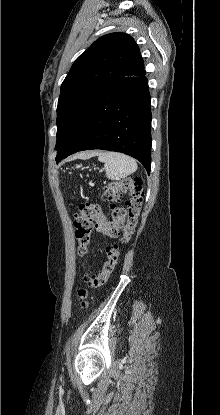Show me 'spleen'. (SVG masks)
I'll return each instance as SVG.
<instances>
[{
    "instance_id": "obj_1",
    "label": "spleen",
    "mask_w": 220,
    "mask_h": 415,
    "mask_svg": "<svg viewBox=\"0 0 220 415\" xmlns=\"http://www.w3.org/2000/svg\"><path fill=\"white\" fill-rule=\"evenodd\" d=\"M98 160L104 163L106 175L111 180L127 177L137 170L136 161L132 157L122 153H99Z\"/></svg>"
}]
</instances>
